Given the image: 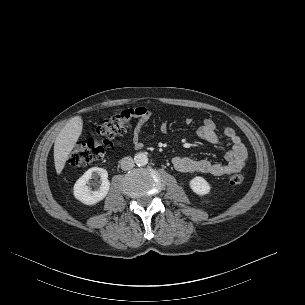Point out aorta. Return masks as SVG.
<instances>
[{"instance_id": "1", "label": "aorta", "mask_w": 305, "mask_h": 305, "mask_svg": "<svg viewBox=\"0 0 305 305\" xmlns=\"http://www.w3.org/2000/svg\"><path fill=\"white\" fill-rule=\"evenodd\" d=\"M134 161L138 166H144L148 163L147 154L144 152H139L135 154Z\"/></svg>"}]
</instances>
